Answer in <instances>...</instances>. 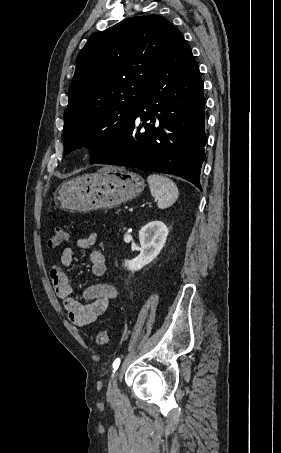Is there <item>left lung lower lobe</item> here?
Instances as JSON below:
<instances>
[{"instance_id":"left-lung-lower-lobe-1","label":"left lung lower lobe","mask_w":281,"mask_h":453,"mask_svg":"<svg viewBox=\"0 0 281 453\" xmlns=\"http://www.w3.org/2000/svg\"><path fill=\"white\" fill-rule=\"evenodd\" d=\"M154 116L158 117L159 125H154ZM148 120L153 124L145 122ZM204 123L203 83L192 52L180 33L131 123L95 164L170 173L201 190L199 176L206 144ZM141 128L145 130L140 131Z\"/></svg>"}]
</instances>
